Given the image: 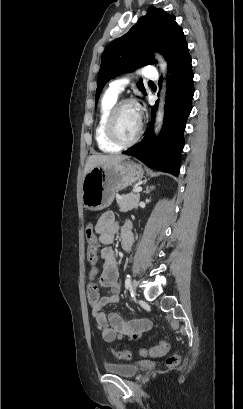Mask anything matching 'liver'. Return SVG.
<instances>
[{
  "mask_svg": "<svg viewBox=\"0 0 243 409\" xmlns=\"http://www.w3.org/2000/svg\"><path fill=\"white\" fill-rule=\"evenodd\" d=\"M126 155H92L87 159L84 175L94 167H110L127 159Z\"/></svg>",
  "mask_w": 243,
  "mask_h": 409,
  "instance_id": "1",
  "label": "liver"
}]
</instances>
